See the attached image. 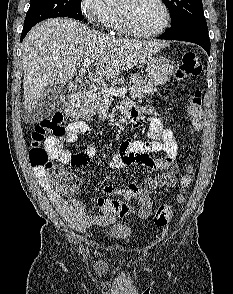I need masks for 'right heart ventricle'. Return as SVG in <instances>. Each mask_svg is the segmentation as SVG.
<instances>
[{"instance_id": "right-heart-ventricle-1", "label": "right heart ventricle", "mask_w": 233, "mask_h": 294, "mask_svg": "<svg viewBox=\"0 0 233 294\" xmlns=\"http://www.w3.org/2000/svg\"><path fill=\"white\" fill-rule=\"evenodd\" d=\"M110 28H112L113 30H115L119 33H124V30H123L122 24H121L119 10H117V9H112V15H111V19H110Z\"/></svg>"}]
</instances>
